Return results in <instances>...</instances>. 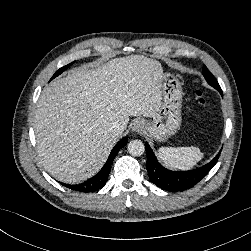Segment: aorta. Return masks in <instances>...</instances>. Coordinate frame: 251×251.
Masks as SVG:
<instances>
[{"mask_svg":"<svg viewBox=\"0 0 251 251\" xmlns=\"http://www.w3.org/2000/svg\"><path fill=\"white\" fill-rule=\"evenodd\" d=\"M145 146L140 140H132L128 143V152L132 156H140L144 153Z\"/></svg>","mask_w":251,"mask_h":251,"instance_id":"aorta-1","label":"aorta"}]
</instances>
